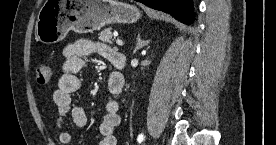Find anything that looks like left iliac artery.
<instances>
[{
	"label": "left iliac artery",
	"instance_id": "1",
	"mask_svg": "<svg viewBox=\"0 0 276 145\" xmlns=\"http://www.w3.org/2000/svg\"><path fill=\"white\" fill-rule=\"evenodd\" d=\"M144 140V135L140 134L137 138L138 143H141Z\"/></svg>",
	"mask_w": 276,
	"mask_h": 145
}]
</instances>
